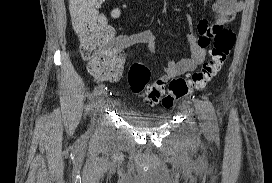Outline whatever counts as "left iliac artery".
I'll return each mask as SVG.
<instances>
[{
    "instance_id": "1",
    "label": "left iliac artery",
    "mask_w": 272,
    "mask_h": 183,
    "mask_svg": "<svg viewBox=\"0 0 272 183\" xmlns=\"http://www.w3.org/2000/svg\"><path fill=\"white\" fill-rule=\"evenodd\" d=\"M204 105H205V108H206L207 113H208V118H209V121H210V126L212 128V131L215 134H217L219 130H218V122H217L214 106L211 103V101L208 100V99H206L204 101Z\"/></svg>"
}]
</instances>
